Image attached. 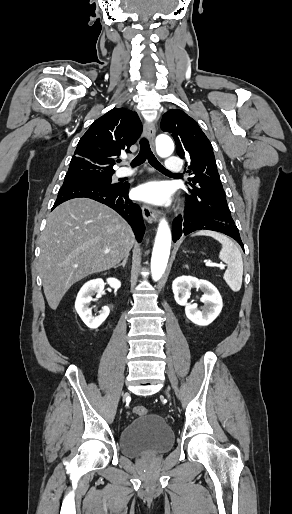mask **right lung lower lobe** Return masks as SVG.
Returning a JSON list of instances; mask_svg holds the SVG:
<instances>
[{
	"label": "right lung lower lobe",
	"mask_w": 292,
	"mask_h": 514,
	"mask_svg": "<svg viewBox=\"0 0 292 514\" xmlns=\"http://www.w3.org/2000/svg\"><path fill=\"white\" fill-rule=\"evenodd\" d=\"M128 190V183L104 185L87 181H67L60 188L52 209L73 198L85 197L96 200L118 212L130 224L136 239L140 242L145 231L142 212L140 206L129 199Z\"/></svg>",
	"instance_id": "1"
}]
</instances>
